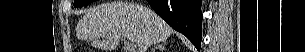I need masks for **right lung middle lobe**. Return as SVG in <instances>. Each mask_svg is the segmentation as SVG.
Segmentation results:
<instances>
[{"mask_svg": "<svg viewBox=\"0 0 305 52\" xmlns=\"http://www.w3.org/2000/svg\"><path fill=\"white\" fill-rule=\"evenodd\" d=\"M93 1H95V0H75L74 6L75 7L85 6Z\"/></svg>", "mask_w": 305, "mask_h": 52, "instance_id": "dd1d6c3e", "label": "right lung middle lobe"}]
</instances>
